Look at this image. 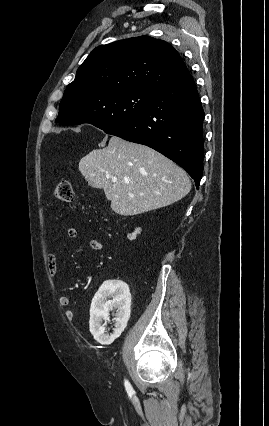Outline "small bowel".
I'll return each instance as SVG.
<instances>
[{
	"label": "small bowel",
	"mask_w": 269,
	"mask_h": 426,
	"mask_svg": "<svg viewBox=\"0 0 269 426\" xmlns=\"http://www.w3.org/2000/svg\"><path fill=\"white\" fill-rule=\"evenodd\" d=\"M67 235L70 239H76L78 237V231L77 229L70 227L67 230ZM89 246L91 249L93 250H100L102 248V243L100 240L98 239H90L89 240ZM47 266H48V271L49 274L54 282V284L57 287L62 286L63 283V275L58 271V267H57V257L54 253H50L48 255L47 258ZM70 297L67 295H60L59 296V304L64 307L67 308L70 306ZM66 315L67 316H71V312L66 311Z\"/></svg>",
	"instance_id": "small-bowel-1"
}]
</instances>
